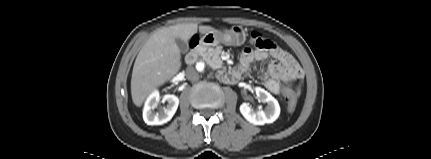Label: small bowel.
Masks as SVG:
<instances>
[{"mask_svg":"<svg viewBox=\"0 0 431 159\" xmlns=\"http://www.w3.org/2000/svg\"><path fill=\"white\" fill-rule=\"evenodd\" d=\"M269 57L266 71L258 73L265 87L274 94H279L283 83H288L300 79L302 71L296 60L286 51L278 47L274 42L266 38L257 39L254 48H245L240 55V69L251 70L255 61H265ZM295 104L302 102L300 95L293 97Z\"/></svg>","mask_w":431,"mask_h":159,"instance_id":"obj_1","label":"small bowel"}]
</instances>
